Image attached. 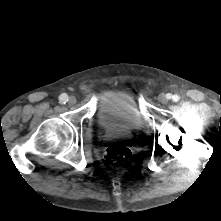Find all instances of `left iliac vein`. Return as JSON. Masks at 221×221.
Returning <instances> with one entry per match:
<instances>
[{
    "label": "left iliac vein",
    "mask_w": 221,
    "mask_h": 221,
    "mask_svg": "<svg viewBox=\"0 0 221 221\" xmlns=\"http://www.w3.org/2000/svg\"><path fill=\"white\" fill-rule=\"evenodd\" d=\"M158 100L162 103V104H165L168 102V98L165 94H160L159 97H158Z\"/></svg>",
    "instance_id": "1"
}]
</instances>
